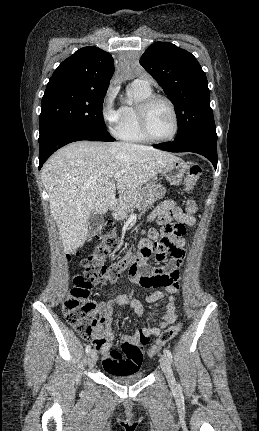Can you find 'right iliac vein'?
I'll use <instances>...</instances> for the list:
<instances>
[{"instance_id":"63e3f726","label":"right iliac vein","mask_w":259,"mask_h":431,"mask_svg":"<svg viewBox=\"0 0 259 431\" xmlns=\"http://www.w3.org/2000/svg\"><path fill=\"white\" fill-rule=\"evenodd\" d=\"M97 361V353L91 350L88 354V365L89 367H94Z\"/></svg>"}]
</instances>
